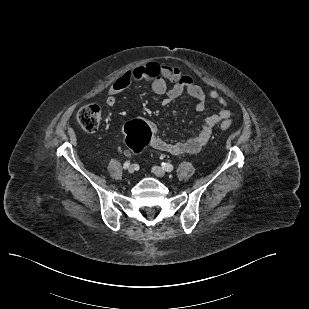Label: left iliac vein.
I'll return each instance as SVG.
<instances>
[{"label":"left iliac vein","mask_w":309,"mask_h":309,"mask_svg":"<svg viewBox=\"0 0 309 309\" xmlns=\"http://www.w3.org/2000/svg\"><path fill=\"white\" fill-rule=\"evenodd\" d=\"M152 172L158 177H164L166 175L165 170L159 166H154Z\"/></svg>","instance_id":"left-iliac-vein-1"}]
</instances>
